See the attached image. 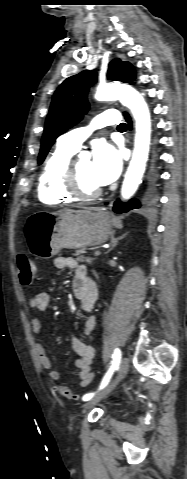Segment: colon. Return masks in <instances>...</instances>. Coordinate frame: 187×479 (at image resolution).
Here are the masks:
<instances>
[{
	"mask_svg": "<svg viewBox=\"0 0 187 479\" xmlns=\"http://www.w3.org/2000/svg\"><path fill=\"white\" fill-rule=\"evenodd\" d=\"M16 264L19 273L20 283L24 286H29L32 284L35 277V266L32 260L26 254H19L16 257ZM54 389L64 398L68 400H76L77 396L73 391L64 385H55Z\"/></svg>",
	"mask_w": 187,
	"mask_h": 479,
	"instance_id": "5ec220e1",
	"label": "colon"
}]
</instances>
